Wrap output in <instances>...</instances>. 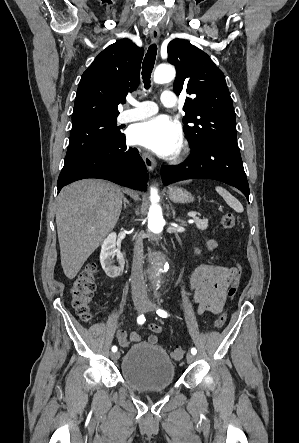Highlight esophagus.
Returning <instances> with one entry per match:
<instances>
[{
    "label": "esophagus",
    "instance_id": "esophagus-1",
    "mask_svg": "<svg viewBox=\"0 0 299 443\" xmlns=\"http://www.w3.org/2000/svg\"><path fill=\"white\" fill-rule=\"evenodd\" d=\"M150 36H151V39L153 42H157L159 40V36H160L159 29L155 28V27L152 28L150 30ZM142 158H143V161H144L147 169L149 171H153L154 168L156 167V162H155L154 158L146 151L142 152Z\"/></svg>",
    "mask_w": 299,
    "mask_h": 443
}]
</instances>
